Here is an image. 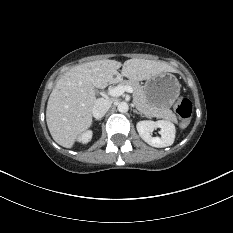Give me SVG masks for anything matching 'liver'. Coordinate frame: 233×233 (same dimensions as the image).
<instances>
[{
    "label": "liver",
    "mask_w": 233,
    "mask_h": 233,
    "mask_svg": "<svg viewBox=\"0 0 233 233\" xmlns=\"http://www.w3.org/2000/svg\"><path fill=\"white\" fill-rule=\"evenodd\" d=\"M122 67L121 73L117 70ZM176 69L162 61L129 59L97 60L71 68L56 82L46 110V121L54 141L71 148L76 139L92 124V109L96 102L95 88L103 89L118 83L122 77L143 81Z\"/></svg>",
    "instance_id": "liver-1"
}]
</instances>
